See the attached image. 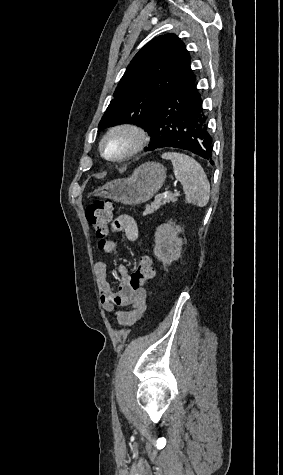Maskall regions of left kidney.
Returning <instances> with one entry per match:
<instances>
[{"label": "left kidney", "mask_w": 283, "mask_h": 475, "mask_svg": "<svg viewBox=\"0 0 283 475\" xmlns=\"http://www.w3.org/2000/svg\"><path fill=\"white\" fill-rule=\"evenodd\" d=\"M181 232V226H175V222L158 226L155 232L154 253L163 265H171L174 259L180 257L183 239L178 238V234Z\"/></svg>", "instance_id": "left-kidney-1"}]
</instances>
